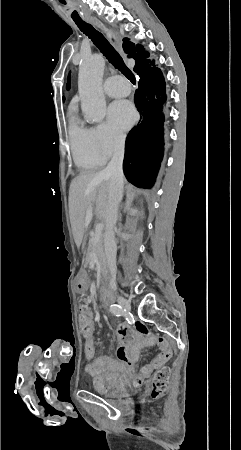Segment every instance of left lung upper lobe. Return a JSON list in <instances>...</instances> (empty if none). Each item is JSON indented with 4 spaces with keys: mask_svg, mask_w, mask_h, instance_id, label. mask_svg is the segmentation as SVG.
I'll return each instance as SVG.
<instances>
[{
    "mask_svg": "<svg viewBox=\"0 0 241 450\" xmlns=\"http://www.w3.org/2000/svg\"><path fill=\"white\" fill-rule=\"evenodd\" d=\"M69 87H70V76L68 77L67 89H69Z\"/></svg>",
    "mask_w": 241,
    "mask_h": 450,
    "instance_id": "left-lung-upper-lobe-1",
    "label": "left lung upper lobe"
}]
</instances>
